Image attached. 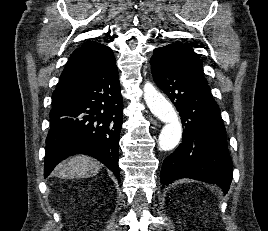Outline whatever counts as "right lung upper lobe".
I'll use <instances>...</instances> for the list:
<instances>
[{"label":"right lung upper lobe","instance_id":"cb5924a9","mask_svg":"<svg viewBox=\"0 0 268 231\" xmlns=\"http://www.w3.org/2000/svg\"><path fill=\"white\" fill-rule=\"evenodd\" d=\"M115 61L112 50L106 45L89 42L76 49L69 58L54 91L74 90L87 79L97 75Z\"/></svg>","mask_w":268,"mask_h":231}]
</instances>
